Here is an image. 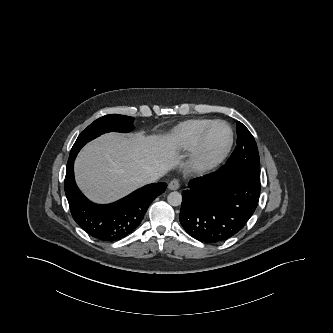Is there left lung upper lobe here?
Returning a JSON list of instances; mask_svg holds the SVG:
<instances>
[{"label":"left lung upper lobe","instance_id":"1","mask_svg":"<svg viewBox=\"0 0 333 333\" xmlns=\"http://www.w3.org/2000/svg\"><path fill=\"white\" fill-rule=\"evenodd\" d=\"M236 127L237 146L226 164L242 168L260 179V159L254 137L241 122H237Z\"/></svg>","mask_w":333,"mask_h":333}]
</instances>
